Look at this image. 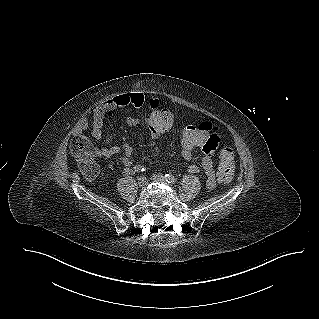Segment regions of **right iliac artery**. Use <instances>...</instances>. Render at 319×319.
<instances>
[{"label": "right iliac artery", "mask_w": 319, "mask_h": 319, "mask_svg": "<svg viewBox=\"0 0 319 319\" xmlns=\"http://www.w3.org/2000/svg\"><path fill=\"white\" fill-rule=\"evenodd\" d=\"M134 170H135L136 172L146 171V169H145L143 166H141V165L135 166V167H134Z\"/></svg>", "instance_id": "right-iliac-artery-1"}]
</instances>
